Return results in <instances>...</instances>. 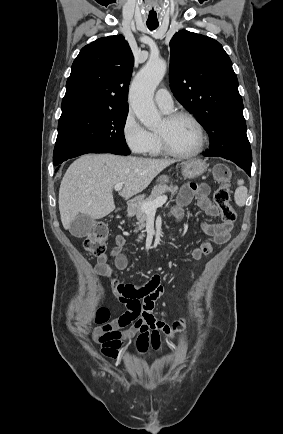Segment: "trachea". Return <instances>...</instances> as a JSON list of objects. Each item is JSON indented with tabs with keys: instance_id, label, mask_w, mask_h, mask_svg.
<instances>
[{
	"instance_id": "1",
	"label": "trachea",
	"mask_w": 283,
	"mask_h": 434,
	"mask_svg": "<svg viewBox=\"0 0 283 434\" xmlns=\"http://www.w3.org/2000/svg\"><path fill=\"white\" fill-rule=\"evenodd\" d=\"M158 26H159L158 23H149V22H147V27H148L150 30H155Z\"/></svg>"
}]
</instances>
